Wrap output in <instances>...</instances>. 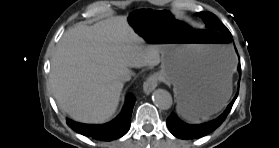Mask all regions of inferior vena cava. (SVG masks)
Instances as JSON below:
<instances>
[{
	"mask_svg": "<svg viewBox=\"0 0 279 148\" xmlns=\"http://www.w3.org/2000/svg\"><path fill=\"white\" fill-rule=\"evenodd\" d=\"M131 73L130 72H123L121 75H120V80L122 82H127V81H130L131 80Z\"/></svg>",
	"mask_w": 279,
	"mask_h": 148,
	"instance_id": "602c4592",
	"label": "inferior vena cava"
}]
</instances>
